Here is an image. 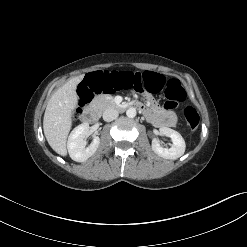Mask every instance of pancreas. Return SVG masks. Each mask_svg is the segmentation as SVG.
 I'll return each instance as SVG.
<instances>
[{"mask_svg":"<svg viewBox=\"0 0 247 247\" xmlns=\"http://www.w3.org/2000/svg\"><path fill=\"white\" fill-rule=\"evenodd\" d=\"M95 102L97 108L101 111L116 106L113 97L111 96L101 95L95 100Z\"/></svg>","mask_w":247,"mask_h":247,"instance_id":"cf45deb5","label":"pancreas"}]
</instances>
